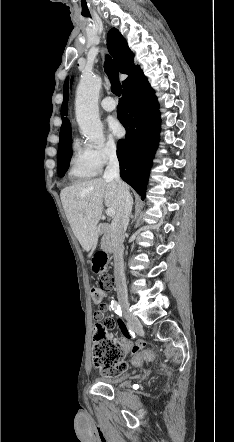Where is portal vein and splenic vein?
I'll return each instance as SVG.
<instances>
[{
	"label": "portal vein and splenic vein",
	"mask_w": 234,
	"mask_h": 442,
	"mask_svg": "<svg viewBox=\"0 0 234 442\" xmlns=\"http://www.w3.org/2000/svg\"><path fill=\"white\" fill-rule=\"evenodd\" d=\"M106 215L109 216V217H113L115 215V210L112 209V208H108L106 210Z\"/></svg>",
	"instance_id": "1"
}]
</instances>
